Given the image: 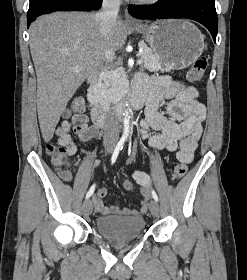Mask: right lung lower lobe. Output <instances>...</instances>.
Masks as SVG:
<instances>
[{"label":"right lung lower lobe","mask_w":247,"mask_h":280,"mask_svg":"<svg viewBox=\"0 0 247 280\" xmlns=\"http://www.w3.org/2000/svg\"><path fill=\"white\" fill-rule=\"evenodd\" d=\"M102 0H37L30 4L27 13L28 27L37 16L60 10H93L99 9Z\"/></svg>","instance_id":"98d812e1"}]
</instances>
